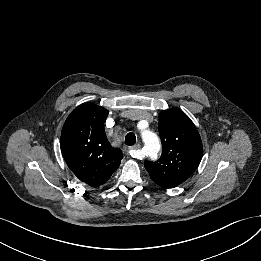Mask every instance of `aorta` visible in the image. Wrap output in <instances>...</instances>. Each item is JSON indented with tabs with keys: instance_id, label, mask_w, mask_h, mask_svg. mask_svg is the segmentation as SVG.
I'll return each mask as SVG.
<instances>
[{
	"instance_id": "obj_1",
	"label": "aorta",
	"mask_w": 261,
	"mask_h": 261,
	"mask_svg": "<svg viewBox=\"0 0 261 261\" xmlns=\"http://www.w3.org/2000/svg\"><path fill=\"white\" fill-rule=\"evenodd\" d=\"M142 138L145 147L148 148L152 153L157 152L160 149V143L157 136L151 131H144Z\"/></svg>"
}]
</instances>
